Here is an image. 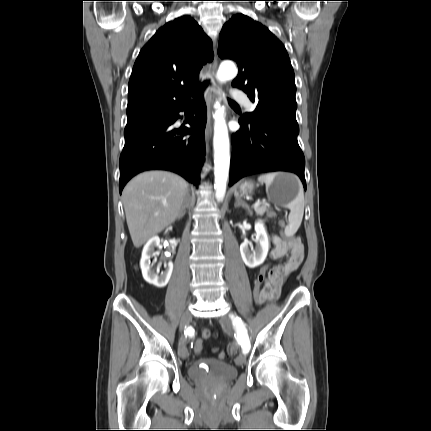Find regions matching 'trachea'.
I'll return each instance as SVG.
<instances>
[{"instance_id":"trachea-1","label":"trachea","mask_w":431,"mask_h":431,"mask_svg":"<svg viewBox=\"0 0 431 431\" xmlns=\"http://www.w3.org/2000/svg\"><path fill=\"white\" fill-rule=\"evenodd\" d=\"M207 86V82H204L194 93V97H193V103L194 104H200L202 101V93L204 88ZM229 103L233 104V105H237L234 101L229 100Z\"/></svg>"}]
</instances>
